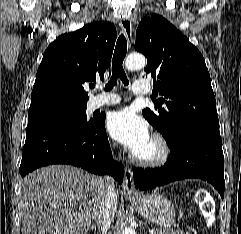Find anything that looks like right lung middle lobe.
<instances>
[{"label": "right lung middle lobe", "mask_w": 241, "mask_h": 234, "mask_svg": "<svg viewBox=\"0 0 241 234\" xmlns=\"http://www.w3.org/2000/svg\"><path fill=\"white\" fill-rule=\"evenodd\" d=\"M94 119L87 120L86 104L67 101H47L30 105L28 126L44 122H63L77 125H90Z\"/></svg>", "instance_id": "1"}]
</instances>
